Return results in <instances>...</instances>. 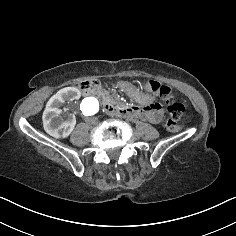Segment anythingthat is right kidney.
<instances>
[{"label": "right kidney", "mask_w": 236, "mask_h": 236, "mask_svg": "<svg viewBox=\"0 0 236 236\" xmlns=\"http://www.w3.org/2000/svg\"><path fill=\"white\" fill-rule=\"evenodd\" d=\"M67 94L76 98L81 96L78 89L68 87L63 89L61 93L54 94L44 107L43 128L48 135L56 139L68 138L77 123L75 116L66 120V116L62 113L68 104V99L65 96Z\"/></svg>", "instance_id": "right-kidney-1"}]
</instances>
